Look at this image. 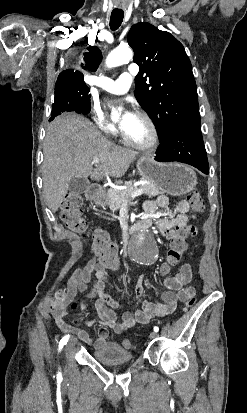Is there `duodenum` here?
Here are the masks:
<instances>
[{"instance_id": "duodenum-1", "label": "duodenum", "mask_w": 247, "mask_h": 413, "mask_svg": "<svg viewBox=\"0 0 247 413\" xmlns=\"http://www.w3.org/2000/svg\"><path fill=\"white\" fill-rule=\"evenodd\" d=\"M102 195V189L100 188L99 185L93 184L91 185L88 190H87V198L90 201H99ZM150 226V222L147 220H142L138 221L134 224H132L124 233L122 236V239L124 242L128 240V237L130 234L146 229Z\"/></svg>"}]
</instances>
